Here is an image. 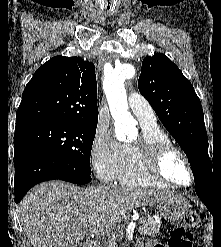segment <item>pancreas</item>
Masks as SVG:
<instances>
[{"label":"pancreas","mask_w":221,"mask_h":247,"mask_svg":"<svg viewBox=\"0 0 221 247\" xmlns=\"http://www.w3.org/2000/svg\"><path fill=\"white\" fill-rule=\"evenodd\" d=\"M140 226L138 231L141 235H154L159 232L160 230V223H157L155 219L151 216L147 218L140 219ZM102 247H115V242L113 240H109L107 243H104Z\"/></svg>","instance_id":"cf45deb5"}]
</instances>
